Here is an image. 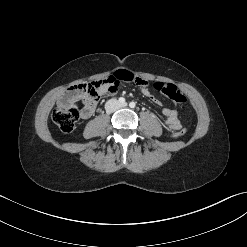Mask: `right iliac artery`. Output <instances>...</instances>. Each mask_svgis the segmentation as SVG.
<instances>
[{
    "label": "right iliac artery",
    "mask_w": 247,
    "mask_h": 247,
    "mask_svg": "<svg viewBox=\"0 0 247 247\" xmlns=\"http://www.w3.org/2000/svg\"><path fill=\"white\" fill-rule=\"evenodd\" d=\"M119 103L124 104V103H125V98L120 97V98H119Z\"/></svg>",
    "instance_id": "right-iliac-artery-1"
}]
</instances>
